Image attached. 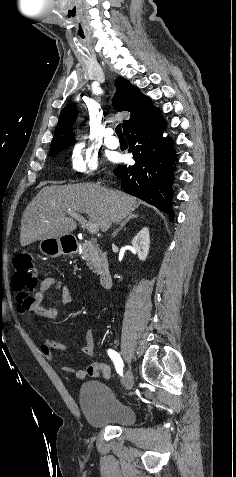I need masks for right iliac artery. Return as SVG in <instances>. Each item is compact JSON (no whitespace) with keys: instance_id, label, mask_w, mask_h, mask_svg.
<instances>
[{"instance_id":"right-iliac-artery-1","label":"right iliac artery","mask_w":236,"mask_h":477,"mask_svg":"<svg viewBox=\"0 0 236 477\" xmlns=\"http://www.w3.org/2000/svg\"><path fill=\"white\" fill-rule=\"evenodd\" d=\"M107 353L115 365V369L120 376H123V361L120 355L112 349H108Z\"/></svg>"}]
</instances>
